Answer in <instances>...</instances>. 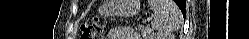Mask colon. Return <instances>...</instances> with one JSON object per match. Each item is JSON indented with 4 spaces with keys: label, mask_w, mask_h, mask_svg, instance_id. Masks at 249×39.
Here are the masks:
<instances>
[{
    "label": "colon",
    "mask_w": 249,
    "mask_h": 39,
    "mask_svg": "<svg viewBox=\"0 0 249 39\" xmlns=\"http://www.w3.org/2000/svg\"><path fill=\"white\" fill-rule=\"evenodd\" d=\"M82 39H99L103 37L105 26L98 17L84 22L81 27Z\"/></svg>",
    "instance_id": "1"
}]
</instances>
